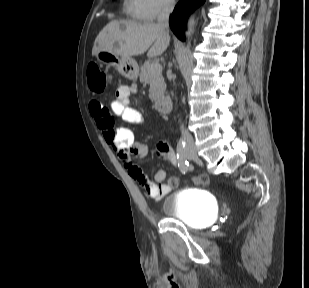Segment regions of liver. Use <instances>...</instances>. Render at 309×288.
Returning <instances> with one entry per match:
<instances>
[{"mask_svg":"<svg viewBox=\"0 0 309 288\" xmlns=\"http://www.w3.org/2000/svg\"><path fill=\"white\" fill-rule=\"evenodd\" d=\"M170 43V36L155 23H138L127 20L109 22L95 39L92 55L109 51L121 57L144 54L161 55Z\"/></svg>","mask_w":309,"mask_h":288,"instance_id":"1","label":"liver"}]
</instances>
